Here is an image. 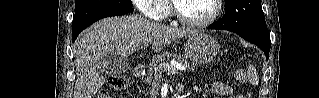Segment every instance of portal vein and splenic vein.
<instances>
[{
	"mask_svg": "<svg viewBox=\"0 0 319 98\" xmlns=\"http://www.w3.org/2000/svg\"><path fill=\"white\" fill-rule=\"evenodd\" d=\"M151 43V40H146L143 42V47H146L148 46L149 44ZM177 68H178V65H175V64H166V63H162L160 64L156 70L157 71H164V72H170L172 74H176L177 73Z\"/></svg>",
	"mask_w": 319,
	"mask_h": 98,
	"instance_id": "portal-vein-and-splenic-vein-1",
	"label": "portal vein and splenic vein"
}]
</instances>
